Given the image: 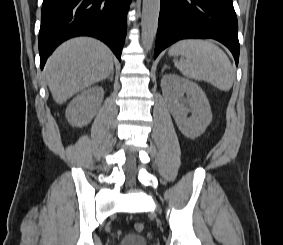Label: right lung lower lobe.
Listing matches in <instances>:
<instances>
[{
	"instance_id": "1",
	"label": "right lung lower lobe",
	"mask_w": 283,
	"mask_h": 245,
	"mask_svg": "<svg viewBox=\"0 0 283 245\" xmlns=\"http://www.w3.org/2000/svg\"><path fill=\"white\" fill-rule=\"evenodd\" d=\"M131 0H44L39 32L40 65L63 41L92 36L121 60Z\"/></svg>"
}]
</instances>
